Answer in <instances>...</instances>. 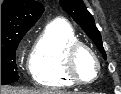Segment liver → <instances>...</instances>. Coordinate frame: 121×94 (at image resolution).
Segmentation results:
<instances>
[{
  "label": "liver",
  "instance_id": "6515ba94",
  "mask_svg": "<svg viewBox=\"0 0 121 94\" xmlns=\"http://www.w3.org/2000/svg\"><path fill=\"white\" fill-rule=\"evenodd\" d=\"M1 94H70V93L48 90V89L25 90V89H16L10 86H1Z\"/></svg>",
  "mask_w": 121,
  "mask_h": 94
}]
</instances>
